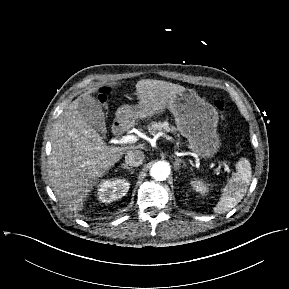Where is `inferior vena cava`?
Returning a JSON list of instances; mask_svg holds the SVG:
<instances>
[{
  "label": "inferior vena cava",
  "instance_id": "obj_1",
  "mask_svg": "<svg viewBox=\"0 0 289 289\" xmlns=\"http://www.w3.org/2000/svg\"><path fill=\"white\" fill-rule=\"evenodd\" d=\"M145 159L144 152L141 150L128 151L125 156V162L129 166L137 167L143 163Z\"/></svg>",
  "mask_w": 289,
  "mask_h": 289
}]
</instances>
